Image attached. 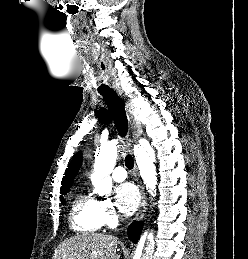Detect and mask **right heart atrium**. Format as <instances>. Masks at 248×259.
Returning a JSON list of instances; mask_svg holds the SVG:
<instances>
[{
    "label": "right heart atrium",
    "mask_w": 248,
    "mask_h": 259,
    "mask_svg": "<svg viewBox=\"0 0 248 259\" xmlns=\"http://www.w3.org/2000/svg\"><path fill=\"white\" fill-rule=\"evenodd\" d=\"M98 209L102 225L112 226L117 221V213L113 203L109 199L98 200Z\"/></svg>",
    "instance_id": "d8ad5b80"
}]
</instances>
